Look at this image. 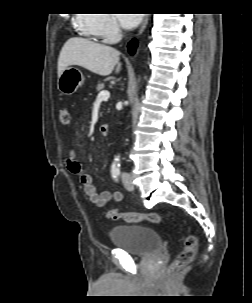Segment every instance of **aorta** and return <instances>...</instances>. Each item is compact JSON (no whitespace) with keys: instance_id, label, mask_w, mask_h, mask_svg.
I'll return each instance as SVG.
<instances>
[{"instance_id":"1","label":"aorta","mask_w":252,"mask_h":303,"mask_svg":"<svg viewBox=\"0 0 252 303\" xmlns=\"http://www.w3.org/2000/svg\"><path fill=\"white\" fill-rule=\"evenodd\" d=\"M119 161H120L119 157H116L114 160L115 163H118Z\"/></svg>"}]
</instances>
